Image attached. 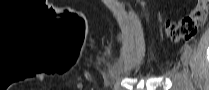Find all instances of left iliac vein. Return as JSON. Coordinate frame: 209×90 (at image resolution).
<instances>
[{"label": "left iliac vein", "instance_id": "obj_1", "mask_svg": "<svg viewBox=\"0 0 209 90\" xmlns=\"http://www.w3.org/2000/svg\"><path fill=\"white\" fill-rule=\"evenodd\" d=\"M181 61L184 67H188L189 65V54L184 50L181 55Z\"/></svg>", "mask_w": 209, "mask_h": 90}]
</instances>
